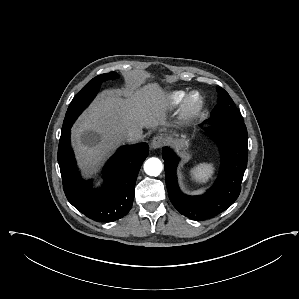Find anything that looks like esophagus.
<instances>
[{
	"instance_id": "34e87169",
	"label": "esophagus",
	"mask_w": 299,
	"mask_h": 299,
	"mask_svg": "<svg viewBox=\"0 0 299 299\" xmlns=\"http://www.w3.org/2000/svg\"><path fill=\"white\" fill-rule=\"evenodd\" d=\"M164 141L165 139L162 136L154 137L151 141V148L152 149L160 148L163 145Z\"/></svg>"
}]
</instances>
